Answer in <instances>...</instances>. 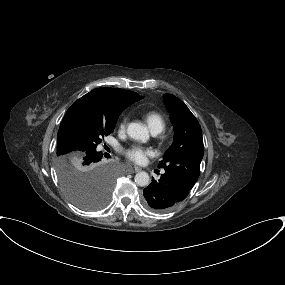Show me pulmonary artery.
<instances>
[{
	"instance_id": "1",
	"label": "pulmonary artery",
	"mask_w": 285,
	"mask_h": 285,
	"mask_svg": "<svg viewBox=\"0 0 285 285\" xmlns=\"http://www.w3.org/2000/svg\"><path fill=\"white\" fill-rule=\"evenodd\" d=\"M153 132V134H157L158 132L157 131H152Z\"/></svg>"
}]
</instances>
